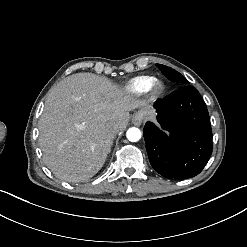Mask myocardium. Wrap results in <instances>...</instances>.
Segmentation results:
<instances>
[{
  "instance_id": "myocardium-1",
  "label": "myocardium",
  "mask_w": 247,
  "mask_h": 247,
  "mask_svg": "<svg viewBox=\"0 0 247 247\" xmlns=\"http://www.w3.org/2000/svg\"><path fill=\"white\" fill-rule=\"evenodd\" d=\"M163 90H164L163 83L161 81H155L149 86L147 92L151 96H159L160 94H162Z\"/></svg>"
}]
</instances>
